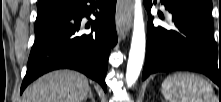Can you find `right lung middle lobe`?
<instances>
[{
    "label": "right lung middle lobe",
    "instance_id": "obj_1",
    "mask_svg": "<svg viewBox=\"0 0 221 102\" xmlns=\"http://www.w3.org/2000/svg\"><path fill=\"white\" fill-rule=\"evenodd\" d=\"M73 5L74 0H61L53 6L38 9L34 30L43 26L61 13L69 10Z\"/></svg>",
    "mask_w": 221,
    "mask_h": 102
}]
</instances>
